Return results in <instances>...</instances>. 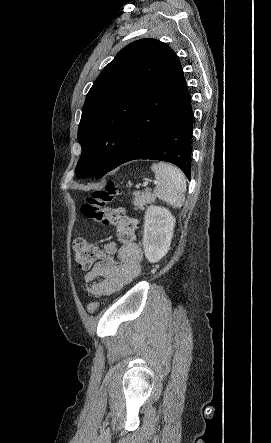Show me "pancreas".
<instances>
[{
    "label": "pancreas",
    "instance_id": "pancreas-1",
    "mask_svg": "<svg viewBox=\"0 0 271 443\" xmlns=\"http://www.w3.org/2000/svg\"><path fill=\"white\" fill-rule=\"evenodd\" d=\"M153 202H155V198L153 196V194H151V192H148V190H146V192H143V194H141V196H139V194H136L134 200H133V204L134 206H136V210H145V206H147V204H153Z\"/></svg>",
    "mask_w": 271,
    "mask_h": 443
}]
</instances>
